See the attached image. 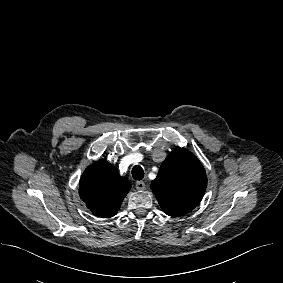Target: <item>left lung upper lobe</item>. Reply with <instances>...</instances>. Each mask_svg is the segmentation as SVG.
Wrapping results in <instances>:
<instances>
[{"label":"left lung upper lobe","instance_id":"left-lung-upper-lobe-1","mask_svg":"<svg viewBox=\"0 0 283 283\" xmlns=\"http://www.w3.org/2000/svg\"><path fill=\"white\" fill-rule=\"evenodd\" d=\"M207 177L200 161L187 149L177 147L162 162L151 189L169 216H182L201 201Z\"/></svg>","mask_w":283,"mask_h":283}]
</instances>
